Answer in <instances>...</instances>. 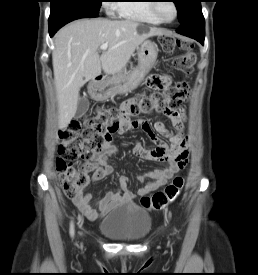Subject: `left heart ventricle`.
I'll list each match as a JSON object with an SVG mask.
<instances>
[{
	"label": "left heart ventricle",
	"mask_w": 258,
	"mask_h": 275,
	"mask_svg": "<svg viewBox=\"0 0 258 275\" xmlns=\"http://www.w3.org/2000/svg\"><path fill=\"white\" fill-rule=\"evenodd\" d=\"M160 15L167 20H170L174 17V7L170 2H162L159 5Z\"/></svg>",
	"instance_id": "left-heart-ventricle-1"
}]
</instances>
